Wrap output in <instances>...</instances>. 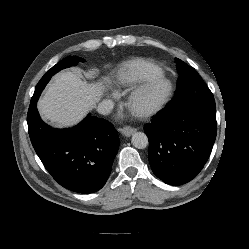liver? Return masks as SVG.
<instances>
[{
  "instance_id": "liver-1",
  "label": "liver",
  "mask_w": 249,
  "mask_h": 249,
  "mask_svg": "<svg viewBox=\"0 0 249 249\" xmlns=\"http://www.w3.org/2000/svg\"><path fill=\"white\" fill-rule=\"evenodd\" d=\"M107 83V77L88 83L73 72H61L48 84L38 102V110L45 120L58 127L75 125L95 107Z\"/></svg>"
}]
</instances>
